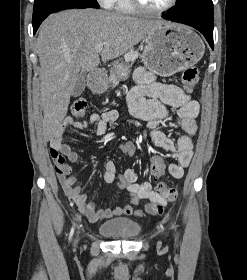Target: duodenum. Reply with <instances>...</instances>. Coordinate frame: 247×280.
I'll return each instance as SVG.
<instances>
[{"instance_id": "410a0bca", "label": "duodenum", "mask_w": 247, "mask_h": 280, "mask_svg": "<svg viewBox=\"0 0 247 280\" xmlns=\"http://www.w3.org/2000/svg\"><path fill=\"white\" fill-rule=\"evenodd\" d=\"M103 79V72L100 69H96L92 73V77L89 82V86L92 90L97 91L101 88Z\"/></svg>"}]
</instances>
